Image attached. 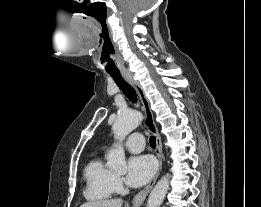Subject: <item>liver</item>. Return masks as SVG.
Returning <instances> with one entry per match:
<instances>
[{
	"label": "liver",
	"instance_id": "obj_1",
	"mask_svg": "<svg viewBox=\"0 0 261 207\" xmlns=\"http://www.w3.org/2000/svg\"><path fill=\"white\" fill-rule=\"evenodd\" d=\"M122 199L98 200L82 204L80 207H121Z\"/></svg>",
	"mask_w": 261,
	"mask_h": 207
}]
</instances>
